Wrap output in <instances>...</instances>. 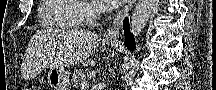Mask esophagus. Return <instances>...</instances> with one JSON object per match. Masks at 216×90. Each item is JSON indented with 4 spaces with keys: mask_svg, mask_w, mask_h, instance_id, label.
<instances>
[{
    "mask_svg": "<svg viewBox=\"0 0 216 90\" xmlns=\"http://www.w3.org/2000/svg\"><path fill=\"white\" fill-rule=\"evenodd\" d=\"M135 0H128L121 9L112 18L110 26L107 28L103 35L104 41L118 42L120 40V29L123 19L133 7Z\"/></svg>",
    "mask_w": 216,
    "mask_h": 90,
    "instance_id": "esophagus-1",
    "label": "esophagus"
}]
</instances>
